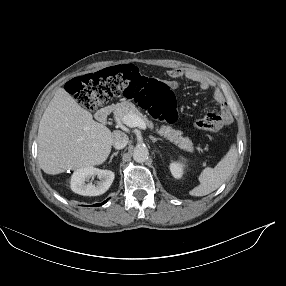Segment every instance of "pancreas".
Here are the masks:
<instances>
[{"instance_id":"1","label":"pancreas","mask_w":286,"mask_h":286,"mask_svg":"<svg viewBox=\"0 0 286 286\" xmlns=\"http://www.w3.org/2000/svg\"><path fill=\"white\" fill-rule=\"evenodd\" d=\"M112 108L115 118L121 122H123L125 115L133 114L140 117L149 128H154L153 122L149 120L146 115H143L132 102L123 101L112 105ZM156 131L179 148L190 152L193 151V143L189 138L182 136V131L175 130L170 126L165 125H162L159 129L157 128Z\"/></svg>"}]
</instances>
